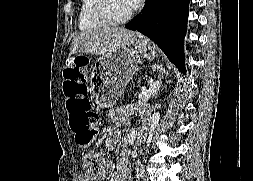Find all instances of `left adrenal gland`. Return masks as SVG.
I'll return each instance as SVG.
<instances>
[{"label": "left adrenal gland", "instance_id": "a2214340", "mask_svg": "<svg viewBox=\"0 0 253 181\" xmlns=\"http://www.w3.org/2000/svg\"><path fill=\"white\" fill-rule=\"evenodd\" d=\"M162 70V69H160ZM160 87H161V83L157 84V89L155 91V95H157L158 91L160 90Z\"/></svg>", "mask_w": 253, "mask_h": 181}]
</instances>
